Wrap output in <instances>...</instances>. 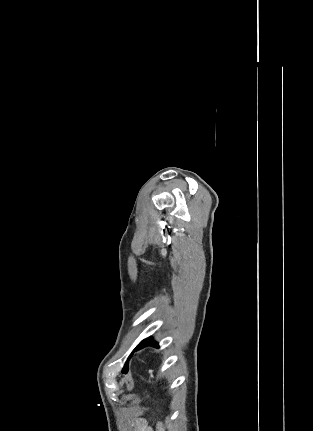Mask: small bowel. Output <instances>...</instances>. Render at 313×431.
I'll use <instances>...</instances> for the list:
<instances>
[{
  "label": "small bowel",
  "mask_w": 313,
  "mask_h": 431,
  "mask_svg": "<svg viewBox=\"0 0 313 431\" xmlns=\"http://www.w3.org/2000/svg\"><path fill=\"white\" fill-rule=\"evenodd\" d=\"M132 425L135 431H153L147 421L141 417L135 418Z\"/></svg>",
  "instance_id": "1"
}]
</instances>
